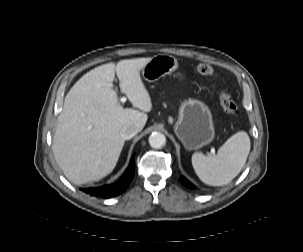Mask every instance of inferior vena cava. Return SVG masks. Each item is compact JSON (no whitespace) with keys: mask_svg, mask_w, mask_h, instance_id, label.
I'll return each instance as SVG.
<instances>
[{"mask_svg":"<svg viewBox=\"0 0 303 252\" xmlns=\"http://www.w3.org/2000/svg\"><path fill=\"white\" fill-rule=\"evenodd\" d=\"M137 132H138V129L135 126H124L120 130V135H121L122 139L129 140L132 137H134L137 134Z\"/></svg>","mask_w":303,"mask_h":252,"instance_id":"obj_1","label":"inferior vena cava"}]
</instances>
